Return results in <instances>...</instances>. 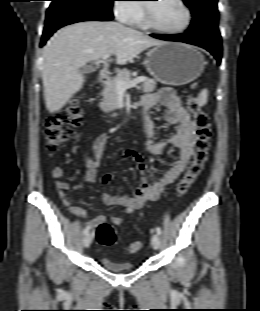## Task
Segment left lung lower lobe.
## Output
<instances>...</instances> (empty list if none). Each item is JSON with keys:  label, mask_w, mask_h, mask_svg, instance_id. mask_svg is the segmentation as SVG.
<instances>
[{"label": "left lung lower lobe", "mask_w": 260, "mask_h": 311, "mask_svg": "<svg viewBox=\"0 0 260 311\" xmlns=\"http://www.w3.org/2000/svg\"><path fill=\"white\" fill-rule=\"evenodd\" d=\"M151 36L162 40L185 42L188 44L203 47L207 49L217 59L218 64H220L221 62V53H222L221 37H215L207 34L192 33L188 31L185 34L179 35L151 34Z\"/></svg>", "instance_id": "1"}]
</instances>
